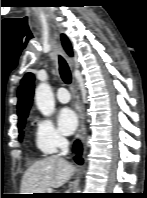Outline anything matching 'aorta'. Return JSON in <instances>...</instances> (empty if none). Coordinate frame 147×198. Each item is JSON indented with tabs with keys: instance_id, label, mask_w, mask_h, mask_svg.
Masks as SVG:
<instances>
[{
	"instance_id": "1",
	"label": "aorta",
	"mask_w": 147,
	"mask_h": 198,
	"mask_svg": "<svg viewBox=\"0 0 147 198\" xmlns=\"http://www.w3.org/2000/svg\"><path fill=\"white\" fill-rule=\"evenodd\" d=\"M35 102L38 110L44 116H50L55 110V102L51 87L47 83H40L35 91ZM80 193V191H77Z\"/></svg>"
}]
</instances>
